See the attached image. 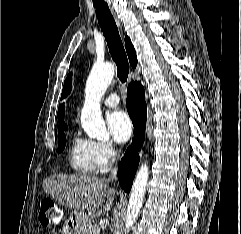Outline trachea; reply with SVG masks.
<instances>
[{
  "mask_svg": "<svg viewBox=\"0 0 241 234\" xmlns=\"http://www.w3.org/2000/svg\"><path fill=\"white\" fill-rule=\"evenodd\" d=\"M101 30L107 41L109 52L117 66V76L122 83L127 81L129 65L115 20L104 0H93Z\"/></svg>",
  "mask_w": 241,
  "mask_h": 234,
  "instance_id": "3493384b",
  "label": "trachea"
}]
</instances>
